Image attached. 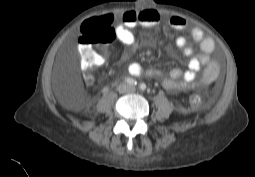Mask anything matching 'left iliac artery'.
<instances>
[{
  "instance_id": "1",
  "label": "left iliac artery",
  "mask_w": 255,
  "mask_h": 177,
  "mask_svg": "<svg viewBox=\"0 0 255 177\" xmlns=\"http://www.w3.org/2000/svg\"><path fill=\"white\" fill-rule=\"evenodd\" d=\"M139 88H140L142 91H144V90L146 89V85H145L144 83H141V84L139 85Z\"/></svg>"
}]
</instances>
